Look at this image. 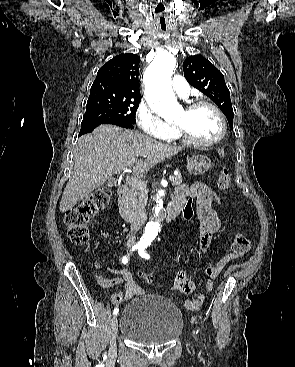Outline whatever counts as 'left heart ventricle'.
<instances>
[{
    "instance_id": "obj_1",
    "label": "left heart ventricle",
    "mask_w": 295,
    "mask_h": 367,
    "mask_svg": "<svg viewBox=\"0 0 295 367\" xmlns=\"http://www.w3.org/2000/svg\"><path fill=\"white\" fill-rule=\"evenodd\" d=\"M175 123L184 126L200 141L213 140L221 131L219 118L209 107H199L193 111L182 110L175 118Z\"/></svg>"
}]
</instances>
